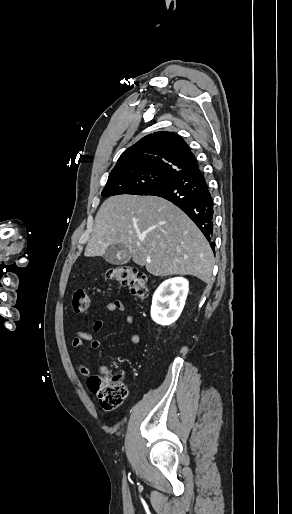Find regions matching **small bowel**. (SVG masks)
<instances>
[{"mask_svg": "<svg viewBox=\"0 0 292 514\" xmlns=\"http://www.w3.org/2000/svg\"><path fill=\"white\" fill-rule=\"evenodd\" d=\"M125 310V306L122 301L120 300H112L108 303H106L103 307V311L105 312H115V313H123ZM124 321L127 325H132L134 323V318L132 315H126L124 318ZM104 326V320L101 318H98L94 320L92 323L91 331L85 332V331H76L75 336L71 340V346L74 349L81 350L84 347V343L86 341H89L91 344V347L94 349H97L100 346V341L95 337V334L100 332ZM128 341L132 345H138L141 342V339L139 335L132 334L128 337ZM98 369L100 371H103L106 369V366L103 364H100L98 366ZM76 370L77 372L85 377L89 378L92 376L91 369L86 365V362L83 357H79L76 361Z\"/></svg>", "mask_w": 292, "mask_h": 514, "instance_id": "c3829d8e", "label": "small bowel"}]
</instances>
